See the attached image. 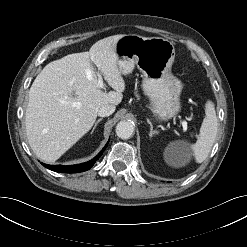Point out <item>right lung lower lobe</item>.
Masks as SVG:
<instances>
[{"label":"right lung lower lobe","instance_id":"obj_1","mask_svg":"<svg viewBox=\"0 0 247 247\" xmlns=\"http://www.w3.org/2000/svg\"><path fill=\"white\" fill-rule=\"evenodd\" d=\"M107 146H105L102 151H100V153L98 154V156H96L95 158H93L92 160L82 163V164H78V165H70V166H62V165H47V164H43L44 167L55 171V172H61V173H78V172H83L86 170H89L94 163L99 159V157L102 155L103 151L105 150Z\"/></svg>","mask_w":247,"mask_h":247}]
</instances>
